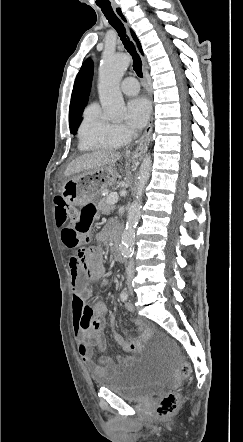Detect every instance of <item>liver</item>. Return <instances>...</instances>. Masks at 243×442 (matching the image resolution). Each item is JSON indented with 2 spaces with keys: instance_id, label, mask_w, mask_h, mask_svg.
<instances>
[{
  "instance_id": "6515ba94",
  "label": "liver",
  "mask_w": 243,
  "mask_h": 442,
  "mask_svg": "<svg viewBox=\"0 0 243 442\" xmlns=\"http://www.w3.org/2000/svg\"><path fill=\"white\" fill-rule=\"evenodd\" d=\"M121 155L111 150H99L84 154L74 159L66 168L65 176H70L86 170H93L106 165H114Z\"/></svg>"
}]
</instances>
